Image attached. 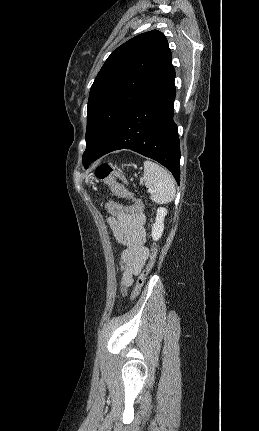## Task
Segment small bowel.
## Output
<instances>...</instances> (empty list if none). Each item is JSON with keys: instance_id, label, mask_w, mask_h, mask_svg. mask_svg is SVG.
Wrapping results in <instances>:
<instances>
[{"instance_id": "c3829d8e", "label": "small bowel", "mask_w": 259, "mask_h": 431, "mask_svg": "<svg viewBox=\"0 0 259 431\" xmlns=\"http://www.w3.org/2000/svg\"><path fill=\"white\" fill-rule=\"evenodd\" d=\"M133 214L134 217L125 219L116 217L108 219L116 242L122 247L119 257L122 293H126L132 286L134 277L141 271L149 256V250L145 245L147 231L144 212L141 211V214L133 212Z\"/></svg>"}]
</instances>
